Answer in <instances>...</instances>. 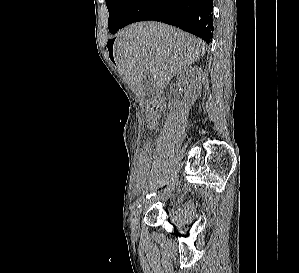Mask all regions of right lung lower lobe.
I'll list each match as a JSON object with an SVG mask.
<instances>
[{
    "mask_svg": "<svg viewBox=\"0 0 299 273\" xmlns=\"http://www.w3.org/2000/svg\"><path fill=\"white\" fill-rule=\"evenodd\" d=\"M142 20L179 27L210 43L214 29L213 0H134L120 28Z\"/></svg>",
    "mask_w": 299,
    "mask_h": 273,
    "instance_id": "1",
    "label": "right lung lower lobe"
}]
</instances>
